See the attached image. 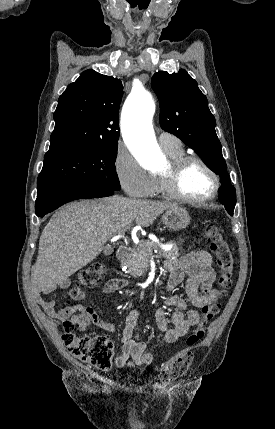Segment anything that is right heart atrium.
I'll return each mask as SVG.
<instances>
[{
  "label": "right heart atrium",
  "mask_w": 275,
  "mask_h": 429,
  "mask_svg": "<svg viewBox=\"0 0 275 429\" xmlns=\"http://www.w3.org/2000/svg\"><path fill=\"white\" fill-rule=\"evenodd\" d=\"M114 168L122 188L135 197H146L154 189L155 177L146 171L124 147L117 149Z\"/></svg>",
  "instance_id": "1"
}]
</instances>
